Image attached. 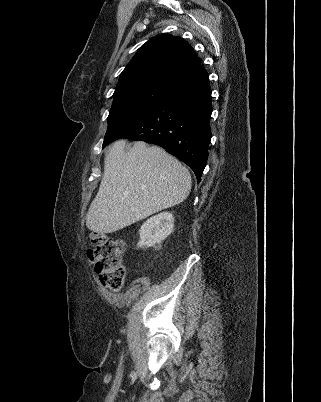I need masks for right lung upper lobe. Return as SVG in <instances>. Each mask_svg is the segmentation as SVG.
I'll list each match as a JSON object with an SVG mask.
<instances>
[{"mask_svg": "<svg viewBox=\"0 0 321 402\" xmlns=\"http://www.w3.org/2000/svg\"><path fill=\"white\" fill-rule=\"evenodd\" d=\"M201 70L188 43L180 37L162 34L139 48L121 73L115 92L148 83L173 86Z\"/></svg>", "mask_w": 321, "mask_h": 402, "instance_id": "obj_1", "label": "right lung upper lobe"}]
</instances>
